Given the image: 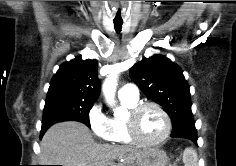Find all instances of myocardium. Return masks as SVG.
<instances>
[{"mask_svg": "<svg viewBox=\"0 0 236 166\" xmlns=\"http://www.w3.org/2000/svg\"><path fill=\"white\" fill-rule=\"evenodd\" d=\"M155 108L164 118L165 130L163 135L156 141L147 142L141 139L137 130V119L139 115L147 108ZM127 132L134 144L141 147H156L161 145L170 135L171 119L165 109L156 102H143L130 109L127 117L124 119Z\"/></svg>", "mask_w": 236, "mask_h": 166, "instance_id": "myocardium-1", "label": "myocardium"}]
</instances>
